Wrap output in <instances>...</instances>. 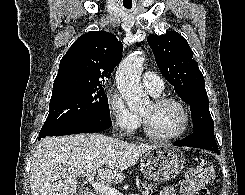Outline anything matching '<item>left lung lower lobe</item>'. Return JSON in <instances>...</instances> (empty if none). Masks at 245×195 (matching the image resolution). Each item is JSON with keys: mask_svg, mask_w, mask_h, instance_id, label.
Instances as JSON below:
<instances>
[{"mask_svg": "<svg viewBox=\"0 0 245 195\" xmlns=\"http://www.w3.org/2000/svg\"><path fill=\"white\" fill-rule=\"evenodd\" d=\"M174 145L202 148L220 154L215 138L203 132H194L186 138L175 142Z\"/></svg>", "mask_w": 245, "mask_h": 195, "instance_id": "obj_1", "label": "left lung lower lobe"}]
</instances>
